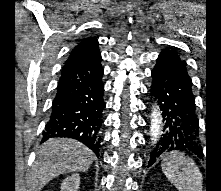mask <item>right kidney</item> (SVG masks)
Segmentation results:
<instances>
[{
    "mask_svg": "<svg viewBox=\"0 0 221 191\" xmlns=\"http://www.w3.org/2000/svg\"><path fill=\"white\" fill-rule=\"evenodd\" d=\"M80 185V176L75 173L63 180L61 191H78Z\"/></svg>",
    "mask_w": 221,
    "mask_h": 191,
    "instance_id": "right-kidney-1",
    "label": "right kidney"
}]
</instances>
